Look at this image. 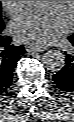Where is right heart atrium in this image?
Segmentation results:
<instances>
[{
    "mask_svg": "<svg viewBox=\"0 0 74 122\" xmlns=\"http://www.w3.org/2000/svg\"><path fill=\"white\" fill-rule=\"evenodd\" d=\"M1 3L8 14L15 15L23 8L25 1H1Z\"/></svg>",
    "mask_w": 74,
    "mask_h": 122,
    "instance_id": "obj_1",
    "label": "right heart atrium"
}]
</instances>
